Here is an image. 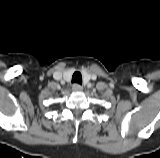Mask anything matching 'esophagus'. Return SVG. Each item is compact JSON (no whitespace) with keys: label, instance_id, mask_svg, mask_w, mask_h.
I'll return each instance as SVG.
<instances>
[{"label":"esophagus","instance_id":"1","mask_svg":"<svg viewBox=\"0 0 160 158\" xmlns=\"http://www.w3.org/2000/svg\"><path fill=\"white\" fill-rule=\"evenodd\" d=\"M82 89H83V87L80 84H77V83L73 84V86H72V90L74 92H80V91H82Z\"/></svg>","mask_w":160,"mask_h":158}]
</instances>
